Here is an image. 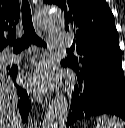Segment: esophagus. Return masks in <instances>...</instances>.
<instances>
[{"mask_svg": "<svg viewBox=\"0 0 125 128\" xmlns=\"http://www.w3.org/2000/svg\"><path fill=\"white\" fill-rule=\"evenodd\" d=\"M37 101H38L39 103H45V102L48 101V96L45 95V94H38V95H37Z\"/></svg>", "mask_w": 125, "mask_h": 128, "instance_id": "esophagus-1", "label": "esophagus"}]
</instances>
